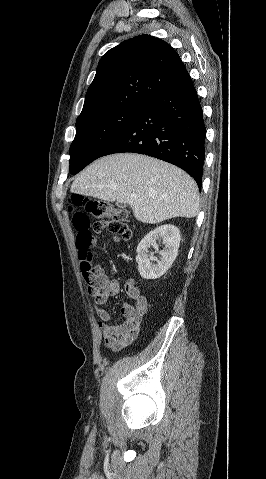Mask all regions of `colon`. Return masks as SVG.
<instances>
[{"label": "colon", "mask_w": 266, "mask_h": 479, "mask_svg": "<svg viewBox=\"0 0 266 479\" xmlns=\"http://www.w3.org/2000/svg\"><path fill=\"white\" fill-rule=\"evenodd\" d=\"M70 209L75 210L72 216V225L76 233L75 244L78 250L79 268L87 284L88 292L96 296V278L94 276L93 251L91 248L92 234L108 231L122 240L130 238V230L126 224L127 213L106 201L72 195L69 200Z\"/></svg>", "instance_id": "5ec220e1"}]
</instances>
